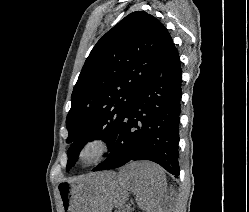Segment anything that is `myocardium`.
I'll list each match as a JSON object with an SVG mask.
<instances>
[{"label":"myocardium","instance_id":"myocardium-1","mask_svg":"<svg viewBox=\"0 0 249 212\" xmlns=\"http://www.w3.org/2000/svg\"><path fill=\"white\" fill-rule=\"evenodd\" d=\"M91 146H98V153L90 158L85 159L84 153ZM114 141L105 134H96L86 138L80 143L76 150V161L82 166H95L103 162L114 150Z\"/></svg>","mask_w":249,"mask_h":212}]
</instances>
